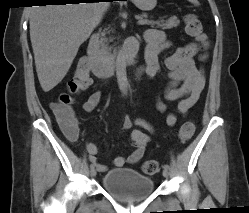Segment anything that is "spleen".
<instances>
[{
    "label": "spleen",
    "mask_w": 249,
    "mask_h": 213,
    "mask_svg": "<svg viewBox=\"0 0 249 213\" xmlns=\"http://www.w3.org/2000/svg\"><path fill=\"white\" fill-rule=\"evenodd\" d=\"M188 1L191 2V3H193V4H195V5H199L198 0H188Z\"/></svg>",
    "instance_id": "obj_1"
}]
</instances>
